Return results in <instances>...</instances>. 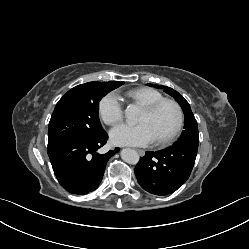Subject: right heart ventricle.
Here are the masks:
<instances>
[{"label":"right heart ventricle","instance_id":"e07e8e85","mask_svg":"<svg viewBox=\"0 0 249 249\" xmlns=\"http://www.w3.org/2000/svg\"><path fill=\"white\" fill-rule=\"evenodd\" d=\"M124 96L132 103L144 106L164 98L159 91L149 87H139L128 90Z\"/></svg>","mask_w":249,"mask_h":249}]
</instances>
